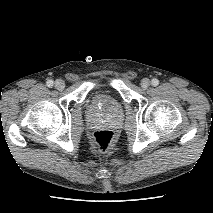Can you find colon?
<instances>
[{"label":"colon","mask_w":213,"mask_h":213,"mask_svg":"<svg viewBox=\"0 0 213 213\" xmlns=\"http://www.w3.org/2000/svg\"><path fill=\"white\" fill-rule=\"evenodd\" d=\"M92 139L94 144L102 151H108L115 142V134L108 129H100L93 133Z\"/></svg>","instance_id":"obj_1"}]
</instances>
